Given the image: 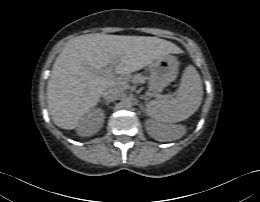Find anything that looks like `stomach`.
I'll return each instance as SVG.
<instances>
[{
	"instance_id": "stomach-1",
	"label": "stomach",
	"mask_w": 260,
	"mask_h": 202,
	"mask_svg": "<svg viewBox=\"0 0 260 202\" xmlns=\"http://www.w3.org/2000/svg\"><path fill=\"white\" fill-rule=\"evenodd\" d=\"M177 71V62L170 55H163L154 60L150 65L149 91L152 93L161 92L166 85L175 79Z\"/></svg>"
}]
</instances>
